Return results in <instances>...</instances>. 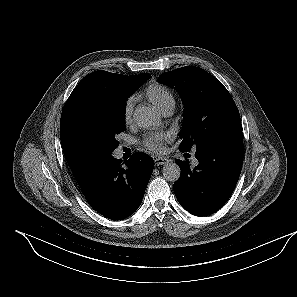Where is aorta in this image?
Wrapping results in <instances>:
<instances>
[{"mask_svg": "<svg viewBox=\"0 0 297 297\" xmlns=\"http://www.w3.org/2000/svg\"><path fill=\"white\" fill-rule=\"evenodd\" d=\"M134 121L139 127L150 128L157 124L158 116L156 111L149 106H141L136 109ZM163 177L170 182H175L180 178L181 170L176 163H167L162 170Z\"/></svg>", "mask_w": 297, "mask_h": 297, "instance_id": "1", "label": "aorta"}]
</instances>
